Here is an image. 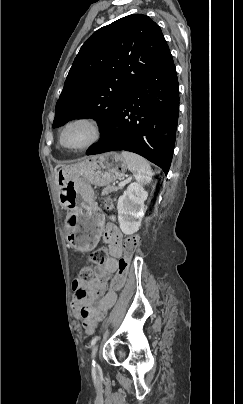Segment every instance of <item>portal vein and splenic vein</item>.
Listing matches in <instances>:
<instances>
[{
	"instance_id": "obj_1",
	"label": "portal vein and splenic vein",
	"mask_w": 243,
	"mask_h": 404,
	"mask_svg": "<svg viewBox=\"0 0 243 404\" xmlns=\"http://www.w3.org/2000/svg\"><path fill=\"white\" fill-rule=\"evenodd\" d=\"M131 183H132V178H129V179H125L123 182H119L118 186H120V188H122V186H127Z\"/></svg>"
}]
</instances>
